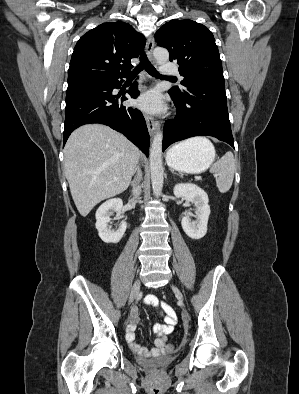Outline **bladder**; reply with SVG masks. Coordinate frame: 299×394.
Instances as JSON below:
<instances>
[{
	"instance_id": "1",
	"label": "bladder",
	"mask_w": 299,
	"mask_h": 394,
	"mask_svg": "<svg viewBox=\"0 0 299 394\" xmlns=\"http://www.w3.org/2000/svg\"><path fill=\"white\" fill-rule=\"evenodd\" d=\"M174 360L173 356H161L154 359H139L138 363L146 369H162L170 365Z\"/></svg>"
}]
</instances>
